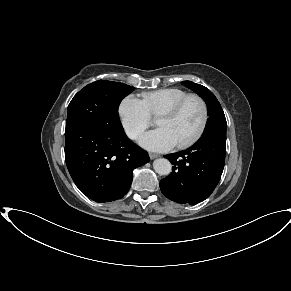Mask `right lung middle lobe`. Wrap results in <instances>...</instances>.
I'll return each mask as SVG.
<instances>
[{
  "mask_svg": "<svg viewBox=\"0 0 291 291\" xmlns=\"http://www.w3.org/2000/svg\"><path fill=\"white\" fill-rule=\"evenodd\" d=\"M134 87L113 81L99 80L85 86L71 100L67 121L78 122L92 128L108 123H120L118 107L121 100Z\"/></svg>",
  "mask_w": 291,
  "mask_h": 291,
  "instance_id": "1",
  "label": "right lung middle lobe"
}]
</instances>
